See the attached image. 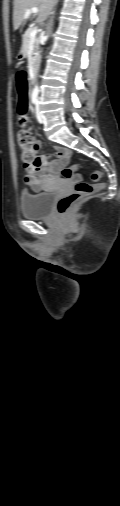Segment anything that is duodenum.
<instances>
[{"instance_id":"1","label":"duodenum","mask_w":120,"mask_h":506,"mask_svg":"<svg viewBox=\"0 0 120 506\" xmlns=\"http://www.w3.org/2000/svg\"><path fill=\"white\" fill-rule=\"evenodd\" d=\"M16 56L18 58H25L27 56V51L25 49H23V47H18L17 51H16ZM38 69H39V64L37 61L34 62L33 64V68H32V80H35L37 75H38Z\"/></svg>"}]
</instances>
